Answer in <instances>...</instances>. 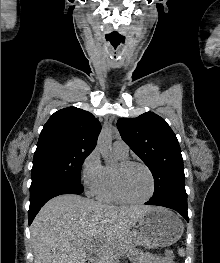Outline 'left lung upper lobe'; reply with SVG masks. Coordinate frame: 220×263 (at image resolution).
I'll use <instances>...</instances> for the list:
<instances>
[{
  "label": "left lung upper lobe",
  "instance_id": "left-lung-upper-lobe-1",
  "mask_svg": "<svg viewBox=\"0 0 220 263\" xmlns=\"http://www.w3.org/2000/svg\"><path fill=\"white\" fill-rule=\"evenodd\" d=\"M122 139L150 169L155 182L151 200L187 205L183 159L176 135L153 112L136 118H120Z\"/></svg>",
  "mask_w": 220,
  "mask_h": 263
}]
</instances>
